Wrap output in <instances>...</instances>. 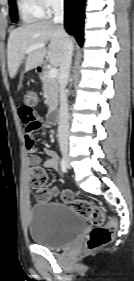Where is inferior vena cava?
<instances>
[{
    "instance_id": "1",
    "label": "inferior vena cava",
    "mask_w": 134,
    "mask_h": 281,
    "mask_svg": "<svg viewBox=\"0 0 134 281\" xmlns=\"http://www.w3.org/2000/svg\"><path fill=\"white\" fill-rule=\"evenodd\" d=\"M52 7L54 10L53 23L61 27L64 35V52L61 59L59 71L60 108L58 117V140L61 147L67 148L69 136V112L65 88L69 79L72 63L73 43L67 38V34L62 26L64 21L63 0H54Z\"/></svg>"
}]
</instances>
